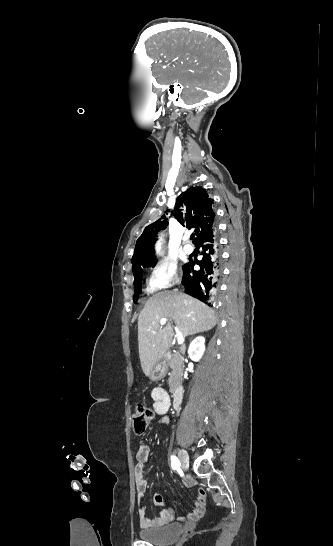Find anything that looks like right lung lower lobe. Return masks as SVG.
Listing matches in <instances>:
<instances>
[{
    "instance_id": "right-lung-lower-lobe-1",
    "label": "right lung lower lobe",
    "mask_w": 333,
    "mask_h": 546,
    "mask_svg": "<svg viewBox=\"0 0 333 546\" xmlns=\"http://www.w3.org/2000/svg\"><path fill=\"white\" fill-rule=\"evenodd\" d=\"M195 245L202 248L203 257L199 261L190 259L183 265L182 285L187 294L212 306L220 277V252L215 227L203 234ZM195 264L200 266V270H194Z\"/></svg>"
}]
</instances>
